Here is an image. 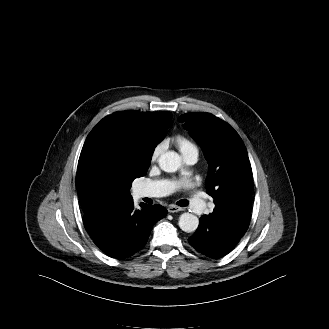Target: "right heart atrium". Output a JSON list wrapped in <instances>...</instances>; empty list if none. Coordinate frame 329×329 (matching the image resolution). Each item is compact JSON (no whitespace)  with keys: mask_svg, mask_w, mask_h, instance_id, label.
Segmentation results:
<instances>
[{"mask_svg":"<svg viewBox=\"0 0 329 329\" xmlns=\"http://www.w3.org/2000/svg\"><path fill=\"white\" fill-rule=\"evenodd\" d=\"M163 149H164L163 143L157 144L152 150L151 161H156L158 159V157L160 156V154L162 153Z\"/></svg>","mask_w":329,"mask_h":329,"instance_id":"right-heart-atrium-1","label":"right heart atrium"}]
</instances>
